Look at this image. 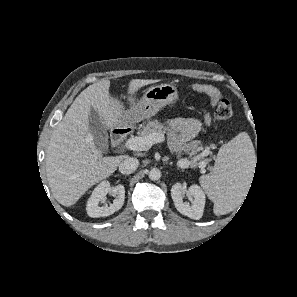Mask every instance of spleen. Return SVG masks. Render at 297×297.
I'll use <instances>...</instances> for the list:
<instances>
[{
    "mask_svg": "<svg viewBox=\"0 0 297 297\" xmlns=\"http://www.w3.org/2000/svg\"><path fill=\"white\" fill-rule=\"evenodd\" d=\"M255 150L246 133H240L224 144L214 169L200 179L208 197L214 202V213L223 215L244 196L256 164Z\"/></svg>",
    "mask_w": 297,
    "mask_h": 297,
    "instance_id": "3e777b00",
    "label": "spleen"
}]
</instances>
